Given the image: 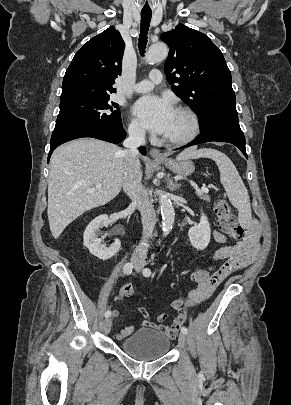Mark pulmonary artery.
I'll return each instance as SVG.
<instances>
[{
	"label": "pulmonary artery",
	"instance_id": "obj_1",
	"mask_svg": "<svg viewBox=\"0 0 291 405\" xmlns=\"http://www.w3.org/2000/svg\"><path fill=\"white\" fill-rule=\"evenodd\" d=\"M162 79L161 71L154 69L149 73V78L136 83L133 90L136 93L148 92L152 90L155 85L159 84Z\"/></svg>",
	"mask_w": 291,
	"mask_h": 405
}]
</instances>
